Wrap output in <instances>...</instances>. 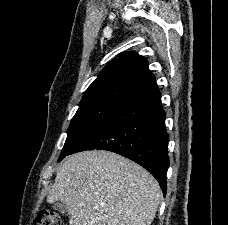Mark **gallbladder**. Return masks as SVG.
Listing matches in <instances>:
<instances>
[{
    "label": "gallbladder",
    "mask_w": 228,
    "mask_h": 225,
    "mask_svg": "<svg viewBox=\"0 0 228 225\" xmlns=\"http://www.w3.org/2000/svg\"><path fill=\"white\" fill-rule=\"evenodd\" d=\"M53 209H55V211H60V213H67V207L62 205V203H53Z\"/></svg>",
    "instance_id": "1"
}]
</instances>
